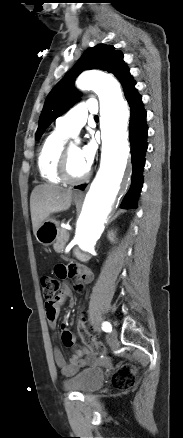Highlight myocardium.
I'll return each mask as SVG.
<instances>
[{
    "instance_id": "1",
    "label": "myocardium",
    "mask_w": 183,
    "mask_h": 438,
    "mask_svg": "<svg viewBox=\"0 0 183 438\" xmlns=\"http://www.w3.org/2000/svg\"><path fill=\"white\" fill-rule=\"evenodd\" d=\"M69 148L65 147L60 153L58 166H57V173L59 178L62 182L67 184H80L85 181H87L91 176V169L89 168L88 171L80 178L74 179L69 176L68 173V154H69Z\"/></svg>"
}]
</instances>
